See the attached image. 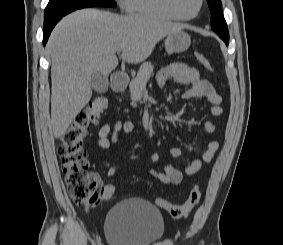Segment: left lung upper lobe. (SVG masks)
<instances>
[{
  "mask_svg": "<svg viewBox=\"0 0 283 245\" xmlns=\"http://www.w3.org/2000/svg\"><path fill=\"white\" fill-rule=\"evenodd\" d=\"M207 2L211 12V27L228 45L229 33L222 13V3L220 0H207Z\"/></svg>",
  "mask_w": 283,
  "mask_h": 245,
  "instance_id": "1",
  "label": "left lung upper lobe"
}]
</instances>
